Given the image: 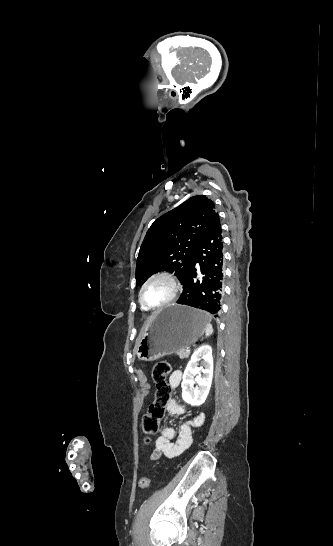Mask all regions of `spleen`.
<instances>
[{
  "instance_id": "obj_1",
  "label": "spleen",
  "mask_w": 333,
  "mask_h": 546,
  "mask_svg": "<svg viewBox=\"0 0 333 546\" xmlns=\"http://www.w3.org/2000/svg\"><path fill=\"white\" fill-rule=\"evenodd\" d=\"M210 322H211V317L209 318V323L207 324L206 329H205V336L206 337H209L210 335L213 334V327H212Z\"/></svg>"
}]
</instances>
